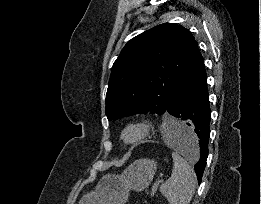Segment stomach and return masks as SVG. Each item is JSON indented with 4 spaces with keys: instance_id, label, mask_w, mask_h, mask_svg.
<instances>
[{
    "instance_id": "0dacf381",
    "label": "stomach",
    "mask_w": 261,
    "mask_h": 204,
    "mask_svg": "<svg viewBox=\"0 0 261 204\" xmlns=\"http://www.w3.org/2000/svg\"><path fill=\"white\" fill-rule=\"evenodd\" d=\"M156 169L154 160H136L121 174L103 175L94 190L81 197L79 204H125L131 190L139 192L149 186Z\"/></svg>"
}]
</instances>
